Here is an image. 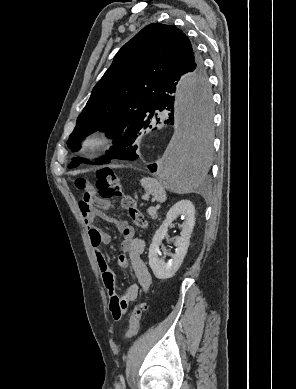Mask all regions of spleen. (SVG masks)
Segmentation results:
<instances>
[{"label":"spleen","mask_w":296,"mask_h":389,"mask_svg":"<svg viewBox=\"0 0 296 389\" xmlns=\"http://www.w3.org/2000/svg\"><path fill=\"white\" fill-rule=\"evenodd\" d=\"M196 179H193L195 181ZM142 187L148 191L158 202H164L167 198L166 191L162 184L154 178H142L140 180Z\"/></svg>","instance_id":"obj_1"}]
</instances>
